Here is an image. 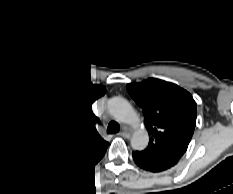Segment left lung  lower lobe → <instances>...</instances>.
<instances>
[{
    "instance_id": "left-lung-lower-lobe-1",
    "label": "left lung lower lobe",
    "mask_w": 233,
    "mask_h": 194,
    "mask_svg": "<svg viewBox=\"0 0 233 194\" xmlns=\"http://www.w3.org/2000/svg\"><path fill=\"white\" fill-rule=\"evenodd\" d=\"M132 156L136 164L152 172H160L174 166L178 160L170 158H158L147 155L143 152H133Z\"/></svg>"
}]
</instances>
